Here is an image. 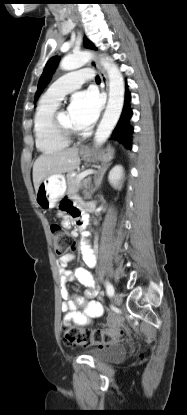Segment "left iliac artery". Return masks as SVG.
Returning a JSON list of instances; mask_svg holds the SVG:
<instances>
[{
  "mask_svg": "<svg viewBox=\"0 0 187 415\" xmlns=\"http://www.w3.org/2000/svg\"><path fill=\"white\" fill-rule=\"evenodd\" d=\"M105 284H106V292H107V295L108 296H113V294H114V288H113L112 284L109 283V282H106Z\"/></svg>",
  "mask_w": 187,
  "mask_h": 415,
  "instance_id": "1",
  "label": "left iliac artery"
}]
</instances>
